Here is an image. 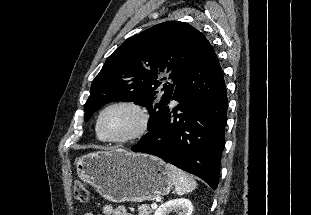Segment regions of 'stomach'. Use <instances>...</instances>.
Returning <instances> with one entry per match:
<instances>
[{"label":"stomach","mask_w":311,"mask_h":215,"mask_svg":"<svg viewBox=\"0 0 311 215\" xmlns=\"http://www.w3.org/2000/svg\"><path fill=\"white\" fill-rule=\"evenodd\" d=\"M78 176L112 202H142L167 195L173 185L165 162L114 148L77 159Z\"/></svg>","instance_id":"obj_1"}]
</instances>
